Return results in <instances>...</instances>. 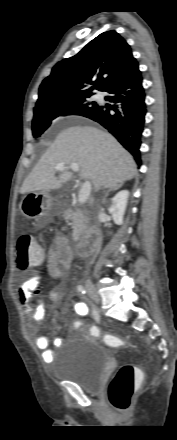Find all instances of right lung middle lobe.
<instances>
[{
	"mask_svg": "<svg viewBox=\"0 0 177 440\" xmlns=\"http://www.w3.org/2000/svg\"><path fill=\"white\" fill-rule=\"evenodd\" d=\"M92 94L64 96L46 105L34 108L32 121L33 136L38 138L51 125L52 121L61 116L81 115L96 109V102L89 101Z\"/></svg>",
	"mask_w": 177,
	"mask_h": 440,
	"instance_id": "1",
	"label": "right lung middle lobe"
}]
</instances>
